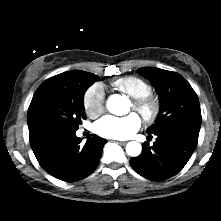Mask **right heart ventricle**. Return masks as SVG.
Listing matches in <instances>:
<instances>
[{
  "label": "right heart ventricle",
  "mask_w": 221,
  "mask_h": 221,
  "mask_svg": "<svg viewBox=\"0 0 221 221\" xmlns=\"http://www.w3.org/2000/svg\"><path fill=\"white\" fill-rule=\"evenodd\" d=\"M111 86L132 98L151 95V86L143 79L136 76H126L111 82Z\"/></svg>",
  "instance_id": "e07e8e85"
}]
</instances>
